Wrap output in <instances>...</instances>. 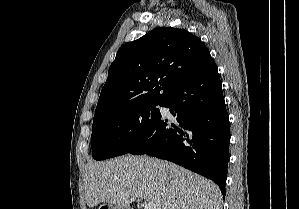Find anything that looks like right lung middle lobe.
Returning a JSON list of instances; mask_svg holds the SVG:
<instances>
[{
    "mask_svg": "<svg viewBox=\"0 0 299 209\" xmlns=\"http://www.w3.org/2000/svg\"><path fill=\"white\" fill-rule=\"evenodd\" d=\"M163 102L126 105L94 116L92 155L104 160L128 153L134 144L161 118L156 106Z\"/></svg>",
    "mask_w": 299,
    "mask_h": 209,
    "instance_id": "obj_1",
    "label": "right lung middle lobe"
}]
</instances>
